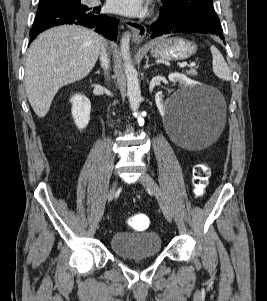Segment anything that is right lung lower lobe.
<instances>
[{
    "label": "right lung lower lobe",
    "mask_w": 267,
    "mask_h": 301,
    "mask_svg": "<svg viewBox=\"0 0 267 301\" xmlns=\"http://www.w3.org/2000/svg\"><path fill=\"white\" fill-rule=\"evenodd\" d=\"M100 10L98 6L74 5L37 14L30 30V39L32 41L40 32L53 26L76 24L95 28V31L104 37L116 41L118 20L100 14Z\"/></svg>",
    "instance_id": "right-lung-lower-lobe-1"
}]
</instances>
